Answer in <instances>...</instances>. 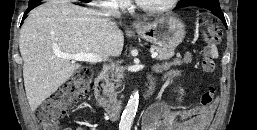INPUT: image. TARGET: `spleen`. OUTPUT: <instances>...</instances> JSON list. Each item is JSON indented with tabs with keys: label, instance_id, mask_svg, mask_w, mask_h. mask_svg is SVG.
Instances as JSON below:
<instances>
[{
	"label": "spleen",
	"instance_id": "3e777b00",
	"mask_svg": "<svg viewBox=\"0 0 257 130\" xmlns=\"http://www.w3.org/2000/svg\"><path fill=\"white\" fill-rule=\"evenodd\" d=\"M204 37H205V40H208L207 35L205 33H204ZM211 56L213 58H218V50L214 44L211 46Z\"/></svg>",
	"mask_w": 257,
	"mask_h": 130
}]
</instances>
